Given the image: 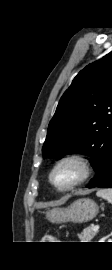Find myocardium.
I'll return each instance as SVG.
<instances>
[{"instance_id":"myocardium-1","label":"myocardium","mask_w":112,"mask_h":270,"mask_svg":"<svg viewBox=\"0 0 112 270\" xmlns=\"http://www.w3.org/2000/svg\"><path fill=\"white\" fill-rule=\"evenodd\" d=\"M69 163L75 164L76 166H78V168L80 169V176L69 185L60 187L56 185L54 182V179H53L54 174L61 166L65 164H69ZM93 172H94V169H93L92 162L86 155L81 154V153H68L61 156L59 159L56 160V162L54 163V165L49 171L48 181L50 185L57 192L66 193L85 184L88 180L91 179Z\"/></svg>"}]
</instances>
